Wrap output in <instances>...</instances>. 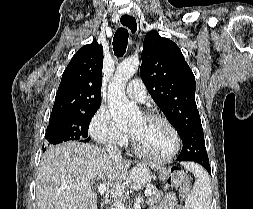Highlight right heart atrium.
I'll list each match as a JSON object with an SVG mask.
<instances>
[{
  "label": "right heart atrium",
  "mask_w": 253,
  "mask_h": 209,
  "mask_svg": "<svg viewBox=\"0 0 253 209\" xmlns=\"http://www.w3.org/2000/svg\"><path fill=\"white\" fill-rule=\"evenodd\" d=\"M90 134L101 145L123 146L128 137L118 129L110 113L105 108H99L90 122Z\"/></svg>",
  "instance_id": "d8ad5b80"
}]
</instances>
